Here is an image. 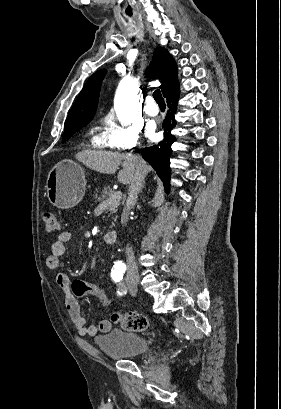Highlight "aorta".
Instances as JSON below:
<instances>
[{
    "instance_id": "762f6f07",
    "label": "aorta",
    "mask_w": 281,
    "mask_h": 409,
    "mask_svg": "<svg viewBox=\"0 0 281 409\" xmlns=\"http://www.w3.org/2000/svg\"><path fill=\"white\" fill-rule=\"evenodd\" d=\"M136 102V84L130 78H126L121 83L115 99L117 117L124 124L134 120Z\"/></svg>"
}]
</instances>
